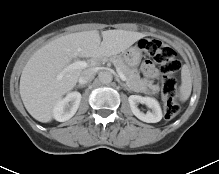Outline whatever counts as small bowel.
<instances>
[{"label":"small bowel","instance_id":"1","mask_svg":"<svg viewBox=\"0 0 219 174\" xmlns=\"http://www.w3.org/2000/svg\"><path fill=\"white\" fill-rule=\"evenodd\" d=\"M142 71L147 78L155 79L158 77L159 72L154 63L150 60H146L142 64Z\"/></svg>","mask_w":219,"mask_h":174}]
</instances>
